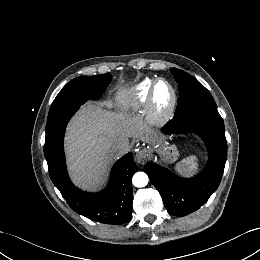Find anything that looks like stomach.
Segmentation results:
<instances>
[{
	"label": "stomach",
	"mask_w": 260,
	"mask_h": 260,
	"mask_svg": "<svg viewBox=\"0 0 260 260\" xmlns=\"http://www.w3.org/2000/svg\"><path fill=\"white\" fill-rule=\"evenodd\" d=\"M157 152L160 156V159L163 163L165 164H172L176 162L179 158V150L176 145L174 144H168L164 143L161 145L158 149Z\"/></svg>",
	"instance_id": "0dacf381"
}]
</instances>
